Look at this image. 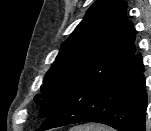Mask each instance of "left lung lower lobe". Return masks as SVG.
Instances as JSON below:
<instances>
[{"label":"left lung lower lobe","mask_w":151,"mask_h":131,"mask_svg":"<svg viewBox=\"0 0 151 131\" xmlns=\"http://www.w3.org/2000/svg\"><path fill=\"white\" fill-rule=\"evenodd\" d=\"M141 54L111 69H91L37 131L97 122L118 131H145L147 94Z\"/></svg>","instance_id":"1"}]
</instances>
